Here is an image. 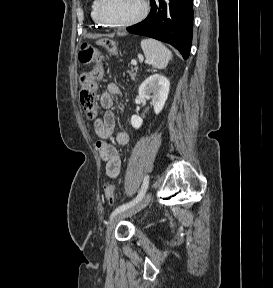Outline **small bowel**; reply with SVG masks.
I'll return each mask as SVG.
<instances>
[{"mask_svg":"<svg viewBox=\"0 0 273 288\" xmlns=\"http://www.w3.org/2000/svg\"><path fill=\"white\" fill-rule=\"evenodd\" d=\"M121 92L120 86L117 83H110L107 90L100 95L99 103L105 113L102 117L94 121V131L99 140L96 143L97 150L105 162L106 174L108 177L115 179L120 174L121 160L117 149L110 144L108 139L115 130V116L111 111L114 103V97ZM116 142L120 145H125L129 141V135L125 130H119L115 136Z\"/></svg>","mask_w":273,"mask_h":288,"instance_id":"obj_1","label":"small bowel"}]
</instances>
